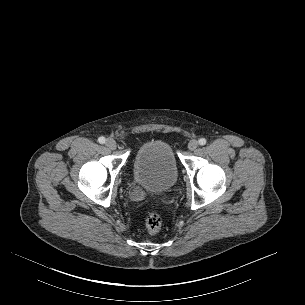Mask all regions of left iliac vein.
I'll list each match as a JSON object with an SVG mask.
<instances>
[{"instance_id": "4c4485c4", "label": "left iliac vein", "mask_w": 305, "mask_h": 305, "mask_svg": "<svg viewBox=\"0 0 305 305\" xmlns=\"http://www.w3.org/2000/svg\"><path fill=\"white\" fill-rule=\"evenodd\" d=\"M198 147V141L193 139L188 143L189 150L193 151Z\"/></svg>"}]
</instances>
